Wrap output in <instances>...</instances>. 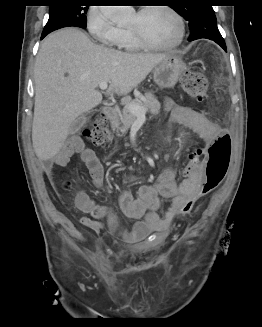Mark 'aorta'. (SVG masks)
I'll list each match as a JSON object with an SVG mask.
<instances>
[{"instance_id":"obj_1","label":"aorta","mask_w":262,"mask_h":327,"mask_svg":"<svg viewBox=\"0 0 262 327\" xmlns=\"http://www.w3.org/2000/svg\"><path fill=\"white\" fill-rule=\"evenodd\" d=\"M126 14H123V13H121L120 15L118 14V15H114V20H116L118 17H120V16H125Z\"/></svg>"}]
</instances>
